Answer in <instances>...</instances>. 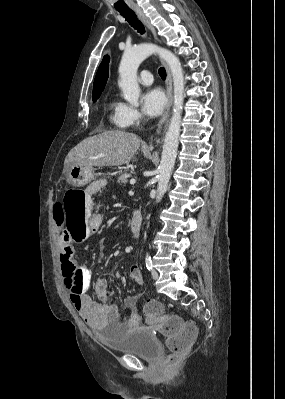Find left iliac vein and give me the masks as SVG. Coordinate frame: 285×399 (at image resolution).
I'll use <instances>...</instances> for the list:
<instances>
[{
    "label": "left iliac vein",
    "instance_id": "left-iliac-vein-1",
    "mask_svg": "<svg viewBox=\"0 0 285 399\" xmlns=\"http://www.w3.org/2000/svg\"><path fill=\"white\" fill-rule=\"evenodd\" d=\"M151 276H152V278H153L154 280H157V279L159 278V274H158L157 270L152 269V271H151Z\"/></svg>",
    "mask_w": 285,
    "mask_h": 399
}]
</instances>
